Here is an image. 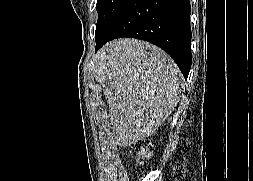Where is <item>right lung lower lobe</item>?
<instances>
[{
	"mask_svg": "<svg viewBox=\"0 0 253 181\" xmlns=\"http://www.w3.org/2000/svg\"><path fill=\"white\" fill-rule=\"evenodd\" d=\"M190 14L189 0H132L118 18L95 37V51L116 38L142 39L166 51L186 79L192 61Z\"/></svg>",
	"mask_w": 253,
	"mask_h": 181,
	"instance_id": "right-lung-lower-lobe-1",
	"label": "right lung lower lobe"
}]
</instances>
